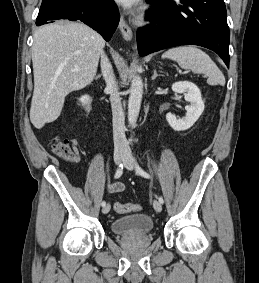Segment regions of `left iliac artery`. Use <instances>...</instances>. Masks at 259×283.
Masks as SVG:
<instances>
[{"label": "left iliac artery", "instance_id": "44dca946", "mask_svg": "<svg viewBox=\"0 0 259 283\" xmlns=\"http://www.w3.org/2000/svg\"><path fill=\"white\" fill-rule=\"evenodd\" d=\"M136 172L145 178H151V176L146 171H144L142 168H140L139 165H136ZM158 200L161 204L164 203V200L161 196L158 197Z\"/></svg>", "mask_w": 259, "mask_h": 283}]
</instances>
